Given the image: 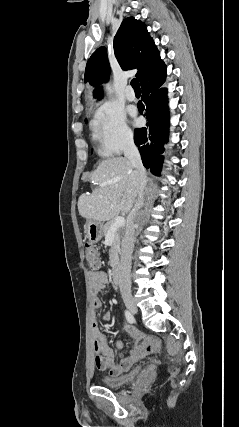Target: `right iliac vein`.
Returning a JSON list of instances; mask_svg holds the SVG:
<instances>
[{"mask_svg": "<svg viewBox=\"0 0 239 427\" xmlns=\"http://www.w3.org/2000/svg\"><path fill=\"white\" fill-rule=\"evenodd\" d=\"M122 298H123V301H124L126 307L128 308V310L132 314H136L138 312V309H137L136 302H135L132 294L129 291H124L122 293Z\"/></svg>", "mask_w": 239, "mask_h": 427, "instance_id": "right-iliac-vein-1", "label": "right iliac vein"}]
</instances>
